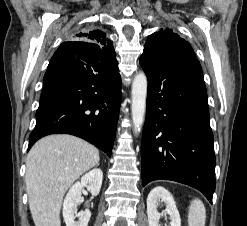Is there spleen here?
<instances>
[{
    "mask_svg": "<svg viewBox=\"0 0 247 226\" xmlns=\"http://www.w3.org/2000/svg\"><path fill=\"white\" fill-rule=\"evenodd\" d=\"M206 209L201 200L195 199L191 202L188 214L189 226H205Z\"/></svg>",
    "mask_w": 247,
    "mask_h": 226,
    "instance_id": "obj_1",
    "label": "spleen"
}]
</instances>
